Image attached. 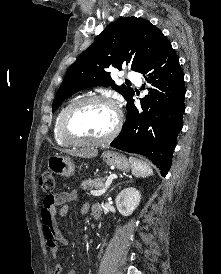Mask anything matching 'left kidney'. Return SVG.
<instances>
[{
	"label": "left kidney",
	"instance_id": "5707ae66",
	"mask_svg": "<svg viewBox=\"0 0 221 274\" xmlns=\"http://www.w3.org/2000/svg\"><path fill=\"white\" fill-rule=\"evenodd\" d=\"M141 200V194L133 187L123 189L116 197L115 202L118 211L123 216H129L137 208Z\"/></svg>",
	"mask_w": 221,
	"mask_h": 274
}]
</instances>
